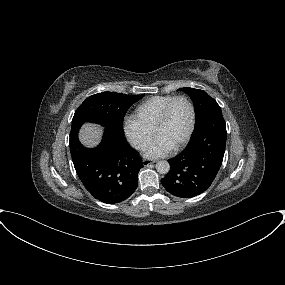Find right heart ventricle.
Returning <instances> with one entry per match:
<instances>
[{
	"instance_id": "right-heart-ventricle-1",
	"label": "right heart ventricle",
	"mask_w": 285,
	"mask_h": 285,
	"mask_svg": "<svg viewBox=\"0 0 285 285\" xmlns=\"http://www.w3.org/2000/svg\"><path fill=\"white\" fill-rule=\"evenodd\" d=\"M172 95L154 96L138 104L133 116L149 129H154L157 119Z\"/></svg>"
}]
</instances>
